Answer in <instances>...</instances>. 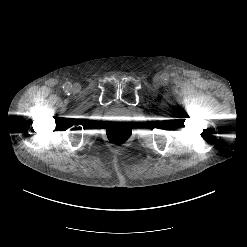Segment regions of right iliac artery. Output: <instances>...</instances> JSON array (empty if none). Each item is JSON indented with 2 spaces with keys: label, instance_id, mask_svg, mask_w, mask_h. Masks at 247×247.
Masks as SVG:
<instances>
[{
  "label": "right iliac artery",
  "instance_id": "1",
  "mask_svg": "<svg viewBox=\"0 0 247 247\" xmlns=\"http://www.w3.org/2000/svg\"><path fill=\"white\" fill-rule=\"evenodd\" d=\"M71 84L69 83V82H67V83H65L64 85H63V89L65 90V91H69L70 89H71Z\"/></svg>",
  "mask_w": 247,
  "mask_h": 247
}]
</instances>
